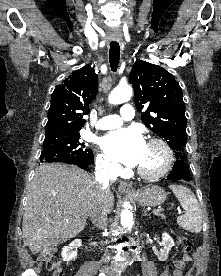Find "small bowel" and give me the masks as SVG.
Segmentation results:
<instances>
[{
	"instance_id": "c3829d8e",
	"label": "small bowel",
	"mask_w": 221,
	"mask_h": 276,
	"mask_svg": "<svg viewBox=\"0 0 221 276\" xmlns=\"http://www.w3.org/2000/svg\"><path fill=\"white\" fill-rule=\"evenodd\" d=\"M190 261V257L187 254H184L182 258L180 259H175L174 263H181L182 265L180 267H176L173 272L172 276H183L182 274V268L184 267L185 263Z\"/></svg>"
}]
</instances>
